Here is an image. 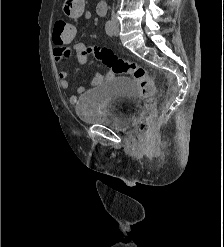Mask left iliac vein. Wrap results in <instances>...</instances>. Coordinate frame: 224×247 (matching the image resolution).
Masks as SVG:
<instances>
[{
  "label": "left iliac vein",
  "mask_w": 224,
  "mask_h": 247,
  "mask_svg": "<svg viewBox=\"0 0 224 247\" xmlns=\"http://www.w3.org/2000/svg\"><path fill=\"white\" fill-rule=\"evenodd\" d=\"M119 33V26L117 24H115L114 26V34L117 36Z\"/></svg>",
  "instance_id": "4c4485c4"
}]
</instances>
